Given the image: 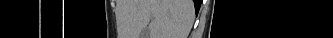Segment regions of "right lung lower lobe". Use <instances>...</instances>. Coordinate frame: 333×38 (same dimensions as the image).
<instances>
[{
    "label": "right lung lower lobe",
    "mask_w": 333,
    "mask_h": 38,
    "mask_svg": "<svg viewBox=\"0 0 333 38\" xmlns=\"http://www.w3.org/2000/svg\"><path fill=\"white\" fill-rule=\"evenodd\" d=\"M194 3H195V8H196V5L199 3L198 1L194 0Z\"/></svg>",
    "instance_id": "right-lung-lower-lobe-1"
}]
</instances>
